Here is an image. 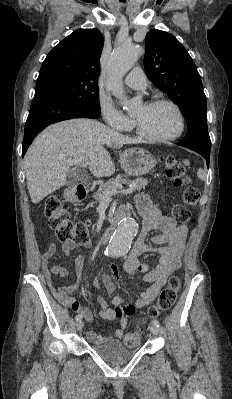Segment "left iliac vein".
I'll return each instance as SVG.
<instances>
[{
	"mask_svg": "<svg viewBox=\"0 0 232 399\" xmlns=\"http://www.w3.org/2000/svg\"><path fill=\"white\" fill-rule=\"evenodd\" d=\"M152 333H155L156 335L160 334L159 329L157 328V325H153V328H150Z\"/></svg>",
	"mask_w": 232,
	"mask_h": 399,
	"instance_id": "1",
	"label": "left iliac vein"
}]
</instances>
